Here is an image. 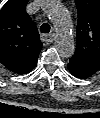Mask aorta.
<instances>
[{
	"mask_svg": "<svg viewBox=\"0 0 100 118\" xmlns=\"http://www.w3.org/2000/svg\"><path fill=\"white\" fill-rule=\"evenodd\" d=\"M44 10L57 32L55 46L59 55L63 58L71 57L75 52V42L73 25L67 10L57 0H48Z\"/></svg>",
	"mask_w": 100,
	"mask_h": 118,
	"instance_id": "aorta-1",
	"label": "aorta"
}]
</instances>
